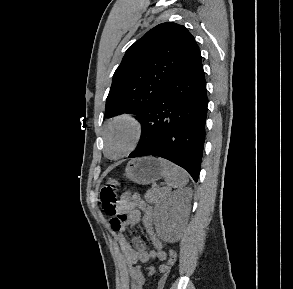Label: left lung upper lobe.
<instances>
[{
	"label": "left lung upper lobe",
	"instance_id": "1",
	"mask_svg": "<svg viewBox=\"0 0 293 289\" xmlns=\"http://www.w3.org/2000/svg\"><path fill=\"white\" fill-rule=\"evenodd\" d=\"M199 56L194 37L183 25H157L127 49L116 69L106 100L107 117L132 113L139 120Z\"/></svg>",
	"mask_w": 293,
	"mask_h": 289
}]
</instances>
